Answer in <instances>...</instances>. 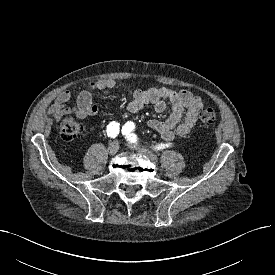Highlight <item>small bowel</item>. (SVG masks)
Instances as JSON below:
<instances>
[{
    "label": "small bowel",
    "instance_id": "obj_1",
    "mask_svg": "<svg viewBox=\"0 0 275 275\" xmlns=\"http://www.w3.org/2000/svg\"><path fill=\"white\" fill-rule=\"evenodd\" d=\"M116 82L112 79H103L88 84L81 89L75 98V104L70 106L73 98L71 90L60 93L50 107V113L55 119L64 115L75 114L78 118L96 116L99 108L93 104V97L100 91L106 95L113 93ZM130 101L127 110L137 113L147 105H152L156 112L163 113L167 102L172 111L166 120L150 119L148 127L159 133L165 141H173L176 136L184 137L194 129L199 111L203 108L202 99L188 90H172L166 87H151L145 90L127 89Z\"/></svg>",
    "mask_w": 275,
    "mask_h": 275
}]
</instances>
